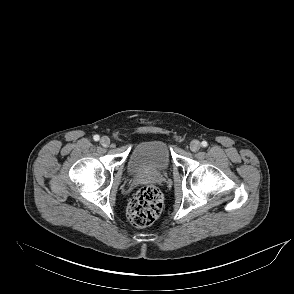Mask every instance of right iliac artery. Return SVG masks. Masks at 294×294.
Segmentation results:
<instances>
[{
    "label": "right iliac artery",
    "instance_id": "1",
    "mask_svg": "<svg viewBox=\"0 0 294 294\" xmlns=\"http://www.w3.org/2000/svg\"><path fill=\"white\" fill-rule=\"evenodd\" d=\"M93 139H94L95 141H98V140L100 139V137H99V135H94Z\"/></svg>",
    "mask_w": 294,
    "mask_h": 294
}]
</instances>
